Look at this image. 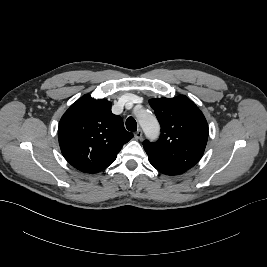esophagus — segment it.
Wrapping results in <instances>:
<instances>
[{
    "mask_svg": "<svg viewBox=\"0 0 267 267\" xmlns=\"http://www.w3.org/2000/svg\"><path fill=\"white\" fill-rule=\"evenodd\" d=\"M134 136H135L136 139H141L142 136H143L142 130L138 129Z\"/></svg>",
    "mask_w": 267,
    "mask_h": 267,
    "instance_id": "esophagus-1",
    "label": "esophagus"
}]
</instances>
